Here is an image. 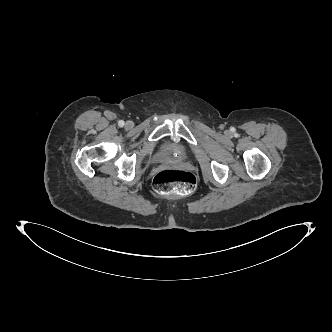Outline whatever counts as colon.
I'll return each instance as SVG.
<instances>
[{
  "label": "colon",
  "mask_w": 332,
  "mask_h": 332,
  "mask_svg": "<svg viewBox=\"0 0 332 332\" xmlns=\"http://www.w3.org/2000/svg\"><path fill=\"white\" fill-rule=\"evenodd\" d=\"M153 183L154 188L160 193H189L196 186V178L188 171L167 169L158 172Z\"/></svg>",
  "instance_id": "colon-1"
}]
</instances>
